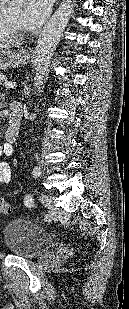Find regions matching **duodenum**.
<instances>
[{
	"label": "duodenum",
	"mask_w": 129,
	"mask_h": 309,
	"mask_svg": "<svg viewBox=\"0 0 129 309\" xmlns=\"http://www.w3.org/2000/svg\"><path fill=\"white\" fill-rule=\"evenodd\" d=\"M17 113H11L9 117V125L6 133V139L9 143L13 142L16 138L20 121Z\"/></svg>",
	"instance_id": "410a0bca"
}]
</instances>
